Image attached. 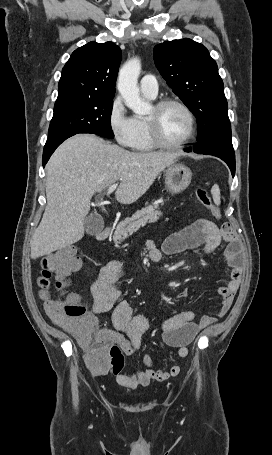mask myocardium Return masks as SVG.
Returning <instances> with one entry per match:
<instances>
[{
  "label": "myocardium",
  "mask_w": 272,
  "mask_h": 455,
  "mask_svg": "<svg viewBox=\"0 0 272 455\" xmlns=\"http://www.w3.org/2000/svg\"><path fill=\"white\" fill-rule=\"evenodd\" d=\"M174 105L183 110L188 118L189 129L188 133L183 140L178 143L170 144L165 142L159 132L158 127V114L167 106ZM154 114L146 118L149 135L152 143L161 149L178 150L185 147L195 136L196 133V119L192 110L182 101L175 98H163L157 101L154 106Z\"/></svg>",
  "instance_id": "f54148a6"
}]
</instances>
